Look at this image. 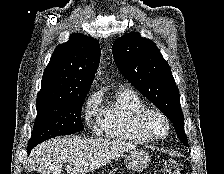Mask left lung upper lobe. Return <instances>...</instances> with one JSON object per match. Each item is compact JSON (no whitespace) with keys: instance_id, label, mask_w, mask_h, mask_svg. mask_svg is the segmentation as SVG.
Here are the masks:
<instances>
[{"instance_id":"left-lung-upper-lobe-1","label":"left lung upper lobe","mask_w":224,"mask_h":174,"mask_svg":"<svg viewBox=\"0 0 224 174\" xmlns=\"http://www.w3.org/2000/svg\"><path fill=\"white\" fill-rule=\"evenodd\" d=\"M112 52L120 72L169 118L178 138L188 146L179 90L156 45L139 33H130L114 42Z\"/></svg>"}]
</instances>
